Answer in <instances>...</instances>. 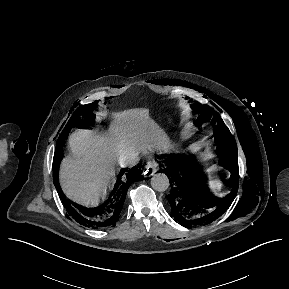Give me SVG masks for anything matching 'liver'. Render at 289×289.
I'll return each mask as SVG.
<instances>
[{"instance_id": "liver-1", "label": "liver", "mask_w": 289, "mask_h": 289, "mask_svg": "<svg viewBox=\"0 0 289 289\" xmlns=\"http://www.w3.org/2000/svg\"><path fill=\"white\" fill-rule=\"evenodd\" d=\"M110 132L104 136L93 130H77L69 137L74 158H65L59 180L65 195L76 203L94 205L115 174L122 152H139L150 147H166L167 135L150 118L147 109H130L114 114Z\"/></svg>"}]
</instances>
